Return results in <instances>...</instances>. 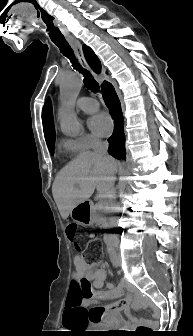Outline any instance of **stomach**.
Masks as SVG:
<instances>
[{"label":"stomach","mask_w":193,"mask_h":336,"mask_svg":"<svg viewBox=\"0 0 193 336\" xmlns=\"http://www.w3.org/2000/svg\"><path fill=\"white\" fill-rule=\"evenodd\" d=\"M71 217L84 226H90L95 222V216L89 202L84 201L76 205L70 212Z\"/></svg>","instance_id":"obj_1"}]
</instances>
